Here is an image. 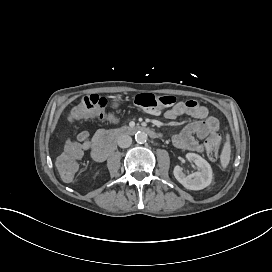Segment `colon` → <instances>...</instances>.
Listing matches in <instances>:
<instances>
[{
    "label": "colon",
    "mask_w": 272,
    "mask_h": 272,
    "mask_svg": "<svg viewBox=\"0 0 272 272\" xmlns=\"http://www.w3.org/2000/svg\"><path fill=\"white\" fill-rule=\"evenodd\" d=\"M174 103L175 97L171 95L139 94L134 98L135 106L148 112H157L162 109L170 108ZM103 105L104 99L102 96L96 94L86 95L83 97L80 105L73 108L68 115L69 118L66 121V131L70 135L62 141V146L65 149L61 158L57 161L62 179L66 182H77L81 175V168L78 166L77 161L81 154V149L76 145L77 139L73 136L80 123L79 118L82 116L89 118L93 114V118L96 121H103L106 118V111L103 108H100ZM93 109L95 110L92 111ZM111 120H114V117H112ZM215 125L216 121L214 119L206 122V128L210 130L208 134V155L209 158L214 160H216L219 155L218 141L221 140L214 131Z\"/></svg>",
    "instance_id": "obj_1"
}]
</instances>
